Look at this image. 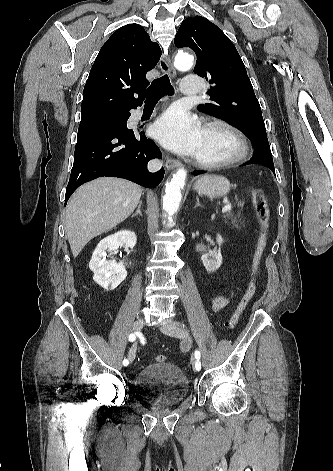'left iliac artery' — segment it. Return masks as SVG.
Returning <instances> with one entry per match:
<instances>
[{
  "label": "left iliac artery",
  "mask_w": 333,
  "mask_h": 471,
  "mask_svg": "<svg viewBox=\"0 0 333 471\" xmlns=\"http://www.w3.org/2000/svg\"><path fill=\"white\" fill-rule=\"evenodd\" d=\"M200 357H201L200 351H199V350H196V351H195V359H196V362H195V369H196L197 371H199V370L201 369Z\"/></svg>",
  "instance_id": "44dca946"
}]
</instances>
